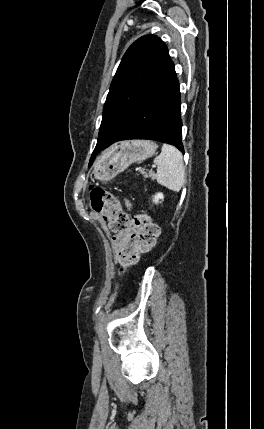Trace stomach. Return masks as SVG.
<instances>
[{
  "label": "stomach",
  "instance_id": "stomach-1",
  "mask_svg": "<svg viewBox=\"0 0 264 429\" xmlns=\"http://www.w3.org/2000/svg\"><path fill=\"white\" fill-rule=\"evenodd\" d=\"M157 144L150 140H128L108 148L95 162L93 173L100 181H109L130 164L155 154Z\"/></svg>",
  "mask_w": 264,
  "mask_h": 429
}]
</instances>
